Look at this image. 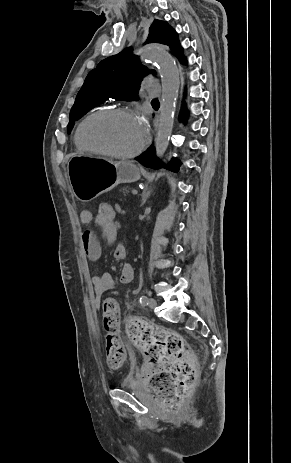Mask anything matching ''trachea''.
<instances>
[{
    "instance_id": "3493384b",
    "label": "trachea",
    "mask_w": 291,
    "mask_h": 463,
    "mask_svg": "<svg viewBox=\"0 0 291 463\" xmlns=\"http://www.w3.org/2000/svg\"><path fill=\"white\" fill-rule=\"evenodd\" d=\"M152 101H153V102H158V99H153Z\"/></svg>"
}]
</instances>
